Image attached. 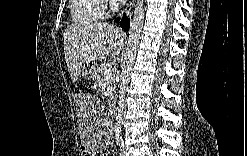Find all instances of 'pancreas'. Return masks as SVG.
<instances>
[{
	"mask_svg": "<svg viewBox=\"0 0 247 156\" xmlns=\"http://www.w3.org/2000/svg\"><path fill=\"white\" fill-rule=\"evenodd\" d=\"M109 67H112V66L109 64H105V65H100L99 67H97V76L95 79H96V83L98 86L106 89V95L109 98L108 101L110 102L112 100L113 93L116 90V81H115L114 75L106 78L105 69Z\"/></svg>",
	"mask_w": 247,
	"mask_h": 156,
	"instance_id": "cf45deb5",
	"label": "pancreas"
}]
</instances>
